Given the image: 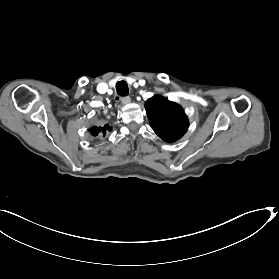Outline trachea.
<instances>
[{
	"instance_id": "obj_1",
	"label": "trachea",
	"mask_w": 279,
	"mask_h": 279,
	"mask_svg": "<svg viewBox=\"0 0 279 279\" xmlns=\"http://www.w3.org/2000/svg\"><path fill=\"white\" fill-rule=\"evenodd\" d=\"M116 91L120 96H127L129 94V89L126 81H118L116 83Z\"/></svg>"
}]
</instances>
